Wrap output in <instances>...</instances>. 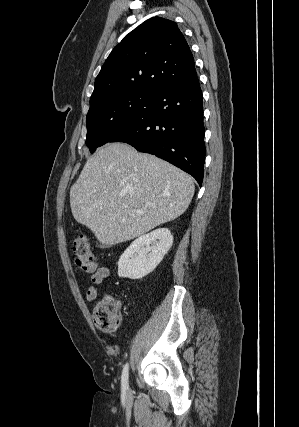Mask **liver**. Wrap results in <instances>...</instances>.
<instances>
[{
  "label": "liver",
  "instance_id": "liver-1",
  "mask_svg": "<svg viewBox=\"0 0 299 427\" xmlns=\"http://www.w3.org/2000/svg\"><path fill=\"white\" fill-rule=\"evenodd\" d=\"M194 190L192 178L172 164L125 143H108L71 186L70 207L106 248L176 219Z\"/></svg>",
  "mask_w": 299,
  "mask_h": 427
}]
</instances>
